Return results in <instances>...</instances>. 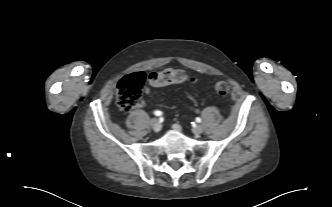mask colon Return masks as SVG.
Masks as SVG:
<instances>
[{
    "label": "colon",
    "instance_id": "1",
    "mask_svg": "<svg viewBox=\"0 0 332 207\" xmlns=\"http://www.w3.org/2000/svg\"><path fill=\"white\" fill-rule=\"evenodd\" d=\"M154 87H162L171 84H179L187 81H194V77L188 76L180 69L166 68L153 72L146 76L143 72H134L123 77L117 87V105L123 111L131 110L141 96L145 81ZM215 91L221 96H227L230 93V85L226 81H218Z\"/></svg>",
    "mask_w": 332,
    "mask_h": 207
}]
</instances>
